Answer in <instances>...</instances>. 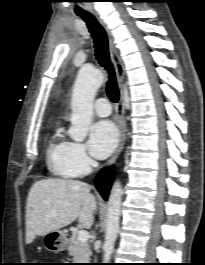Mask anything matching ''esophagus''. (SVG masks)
I'll return each mask as SVG.
<instances>
[{
  "label": "esophagus",
  "instance_id": "1",
  "mask_svg": "<svg viewBox=\"0 0 205 265\" xmlns=\"http://www.w3.org/2000/svg\"><path fill=\"white\" fill-rule=\"evenodd\" d=\"M96 18L101 24V26L104 28L107 34L110 58H111V61L113 63V66L116 72L117 82H118V86L120 90V97H119V101L116 106L120 137H119V144L117 146V149L115 150L113 156L110 158V160L107 163V165H111L116 161V159L122 152L124 145H125V140H126V127H125V121H124V88H123V82L125 78V69H124V64L121 59L120 53L114 43V37L110 29L100 17L96 15Z\"/></svg>",
  "mask_w": 205,
  "mask_h": 265
}]
</instances>
